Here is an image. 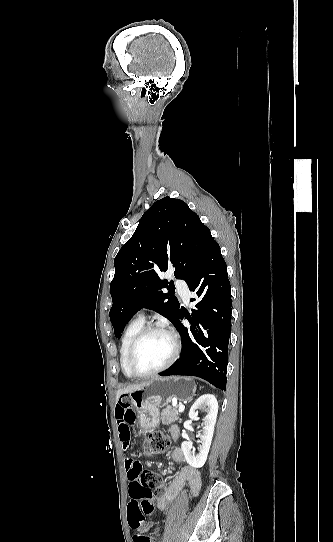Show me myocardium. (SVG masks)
Returning a JSON list of instances; mask_svg holds the SVG:
<instances>
[{
    "mask_svg": "<svg viewBox=\"0 0 333 542\" xmlns=\"http://www.w3.org/2000/svg\"><path fill=\"white\" fill-rule=\"evenodd\" d=\"M156 332L164 333L165 335H167L169 337L170 342H171V353H170L168 359L159 368H157L156 370H154L152 372H149V373H139V372H137L135 370L134 365H133V359H134L135 352H136L138 346L140 345V343L147 336H149L150 334L156 333ZM179 351H180L179 338H178V336L176 335V333L174 331H172L170 328H168V327H166L164 325H161V324L147 325V326L142 328V330L138 333V335L135 337V339L132 341V343H131V345L129 347L128 356H127L128 371L131 374V376L136 377V378H150V377H153V376L159 374L160 372H163L167 368H169L177 360V358L179 356Z\"/></svg>",
    "mask_w": 333,
    "mask_h": 542,
    "instance_id": "f54148a6",
    "label": "myocardium"
}]
</instances>
